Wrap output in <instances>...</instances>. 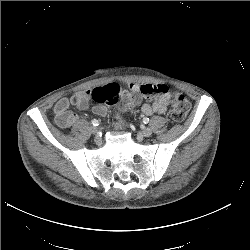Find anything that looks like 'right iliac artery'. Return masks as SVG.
Listing matches in <instances>:
<instances>
[{"instance_id": "right-iliac-artery-1", "label": "right iliac artery", "mask_w": 250, "mask_h": 250, "mask_svg": "<svg viewBox=\"0 0 250 250\" xmlns=\"http://www.w3.org/2000/svg\"><path fill=\"white\" fill-rule=\"evenodd\" d=\"M91 122H92V124H93L94 126H98V125H99V121L96 120V119H93Z\"/></svg>"}]
</instances>
